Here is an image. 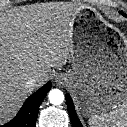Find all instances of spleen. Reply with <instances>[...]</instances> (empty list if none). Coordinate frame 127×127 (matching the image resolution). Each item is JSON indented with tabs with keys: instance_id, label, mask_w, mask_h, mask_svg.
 Here are the masks:
<instances>
[{
	"instance_id": "spleen-1",
	"label": "spleen",
	"mask_w": 127,
	"mask_h": 127,
	"mask_svg": "<svg viewBox=\"0 0 127 127\" xmlns=\"http://www.w3.org/2000/svg\"><path fill=\"white\" fill-rule=\"evenodd\" d=\"M88 123L90 127H127V100L108 113L92 115Z\"/></svg>"
}]
</instances>
